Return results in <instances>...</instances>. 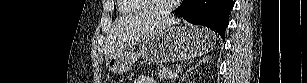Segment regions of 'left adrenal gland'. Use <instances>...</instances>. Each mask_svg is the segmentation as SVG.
<instances>
[{
  "label": "left adrenal gland",
  "mask_w": 307,
  "mask_h": 83,
  "mask_svg": "<svg viewBox=\"0 0 307 83\" xmlns=\"http://www.w3.org/2000/svg\"><path fill=\"white\" fill-rule=\"evenodd\" d=\"M206 62H208V56H206L205 58H203V60H201L200 62H198V64H196L195 66L187 69V71L185 72V74L183 75L182 80H185V78L188 76V73H191L194 69H196L198 66H200L202 63L205 64Z\"/></svg>",
  "instance_id": "1"
}]
</instances>
